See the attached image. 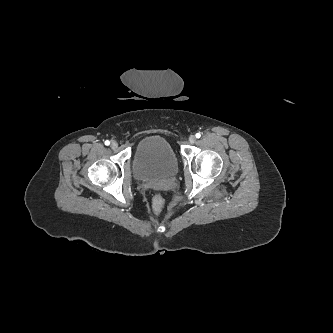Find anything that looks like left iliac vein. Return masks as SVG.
<instances>
[{
  "instance_id": "obj_1",
  "label": "left iliac vein",
  "mask_w": 333,
  "mask_h": 333,
  "mask_svg": "<svg viewBox=\"0 0 333 333\" xmlns=\"http://www.w3.org/2000/svg\"><path fill=\"white\" fill-rule=\"evenodd\" d=\"M195 141H196V137H195L194 135H191V136L189 137V142H190L191 144H193V143H195Z\"/></svg>"
}]
</instances>
